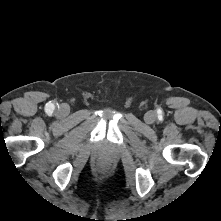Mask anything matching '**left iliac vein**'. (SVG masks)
I'll return each mask as SVG.
<instances>
[{"label": "left iliac vein", "instance_id": "left-iliac-vein-1", "mask_svg": "<svg viewBox=\"0 0 221 221\" xmlns=\"http://www.w3.org/2000/svg\"><path fill=\"white\" fill-rule=\"evenodd\" d=\"M144 120H145V122L148 123V124L154 123L155 120H156V114H155V112H153V111L147 112V113L145 114V116H144Z\"/></svg>", "mask_w": 221, "mask_h": 221}]
</instances>
